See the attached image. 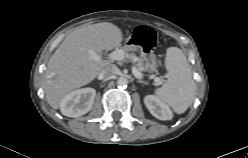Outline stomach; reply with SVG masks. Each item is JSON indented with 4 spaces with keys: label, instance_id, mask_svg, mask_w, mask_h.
Masks as SVG:
<instances>
[{
    "label": "stomach",
    "instance_id": "1",
    "mask_svg": "<svg viewBox=\"0 0 248 158\" xmlns=\"http://www.w3.org/2000/svg\"><path fill=\"white\" fill-rule=\"evenodd\" d=\"M142 60L145 63V71L154 72L157 68V63L154 54L151 52L149 54L142 52Z\"/></svg>",
    "mask_w": 248,
    "mask_h": 158
}]
</instances>
